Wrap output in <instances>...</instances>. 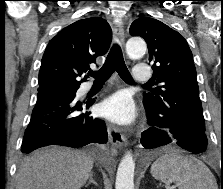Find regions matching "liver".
Masks as SVG:
<instances>
[{"instance_id":"liver-1","label":"liver","mask_w":223,"mask_h":189,"mask_svg":"<svg viewBox=\"0 0 223 189\" xmlns=\"http://www.w3.org/2000/svg\"><path fill=\"white\" fill-rule=\"evenodd\" d=\"M93 158L65 147H47L26 157L16 175V189H80L88 180Z\"/></svg>"}]
</instances>
